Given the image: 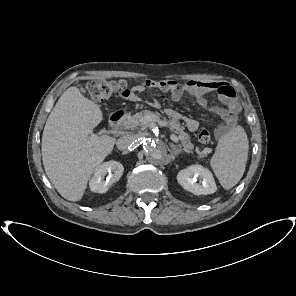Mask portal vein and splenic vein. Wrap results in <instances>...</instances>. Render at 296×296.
Masks as SVG:
<instances>
[{
	"instance_id": "portal-vein-and-splenic-vein-1",
	"label": "portal vein and splenic vein",
	"mask_w": 296,
	"mask_h": 296,
	"mask_svg": "<svg viewBox=\"0 0 296 296\" xmlns=\"http://www.w3.org/2000/svg\"><path fill=\"white\" fill-rule=\"evenodd\" d=\"M155 121H159V118H158L157 116H155V115H151V116L146 115V116H144V117L141 119V123H142L143 125H146V124H148V123H150V122H155ZM170 138H171V140H172L173 142H175V143H178V141H179L178 137H177L176 135H174V134H172V135L170 136ZM209 151H210L209 148H205L204 151H203V153H204V154H207V153H209Z\"/></svg>"
}]
</instances>
